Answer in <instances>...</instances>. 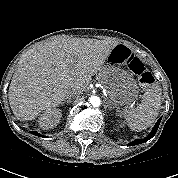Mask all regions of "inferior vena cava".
I'll return each mask as SVG.
<instances>
[{
	"instance_id": "inferior-vena-cava-1",
	"label": "inferior vena cava",
	"mask_w": 178,
	"mask_h": 178,
	"mask_svg": "<svg viewBox=\"0 0 178 178\" xmlns=\"http://www.w3.org/2000/svg\"><path fill=\"white\" fill-rule=\"evenodd\" d=\"M81 94V91L80 90H77V89H73L69 95V97H72V96H76V95H79Z\"/></svg>"
}]
</instances>
